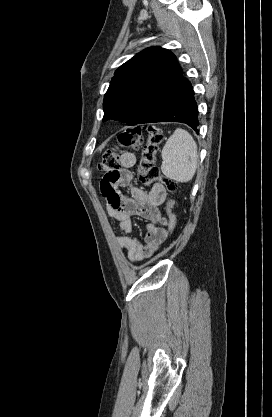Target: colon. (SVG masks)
<instances>
[{
	"instance_id": "colon-1",
	"label": "colon",
	"mask_w": 272,
	"mask_h": 417,
	"mask_svg": "<svg viewBox=\"0 0 272 417\" xmlns=\"http://www.w3.org/2000/svg\"><path fill=\"white\" fill-rule=\"evenodd\" d=\"M143 133L147 134V142L143 146L141 156V170L144 174L143 181L145 183L161 182L169 193H174L177 189V184L170 179L162 177L156 166L157 153L163 141V133L155 125H147L143 128L135 127L122 131L118 135L117 140L119 147L106 150L102 155L98 168L106 174L118 172L121 165V149L138 150L141 148ZM167 217V231L169 234L174 230L177 221L172 199H169L167 202Z\"/></svg>"
}]
</instances>
